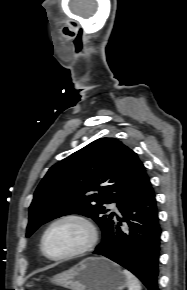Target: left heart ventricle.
I'll return each instance as SVG.
<instances>
[{"mask_svg":"<svg viewBox=\"0 0 187 290\" xmlns=\"http://www.w3.org/2000/svg\"><path fill=\"white\" fill-rule=\"evenodd\" d=\"M87 232L76 222L56 225L48 234L46 248L50 255L61 256L82 247L87 241Z\"/></svg>","mask_w":187,"mask_h":290,"instance_id":"left-heart-ventricle-1","label":"left heart ventricle"}]
</instances>
